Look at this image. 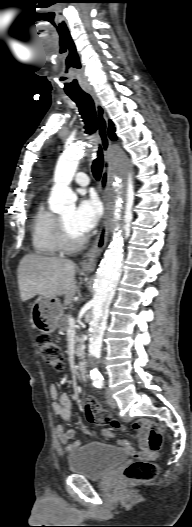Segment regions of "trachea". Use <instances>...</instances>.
<instances>
[{
	"label": "trachea",
	"mask_w": 192,
	"mask_h": 527,
	"mask_svg": "<svg viewBox=\"0 0 192 527\" xmlns=\"http://www.w3.org/2000/svg\"><path fill=\"white\" fill-rule=\"evenodd\" d=\"M69 97L77 104L79 112L85 123V129L87 134H92L97 130V117L94 102L91 96L87 93H79L69 95ZM103 152L101 147L97 151V158L93 161L92 172L94 177L99 180L103 168Z\"/></svg>",
	"instance_id": "3493384b"
}]
</instances>
